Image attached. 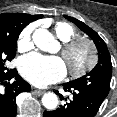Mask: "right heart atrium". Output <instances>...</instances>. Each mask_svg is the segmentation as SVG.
<instances>
[{"label": "right heart atrium", "instance_id": "right-heart-atrium-1", "mask_svg": "<svg viewBox=\"0 0 117 117\" xmlns=\"http://www.w3.org/2000/svg\"><path fill=\"white\" fill-rule=\"evenodd\" d=\"M34 25H29L23 29L18 39V49L21 51L27 50L32 46V32Z\"/></svg>", "mask_w": 117, "mask_h": 117}]
</instances>
